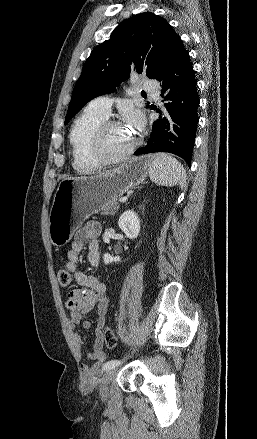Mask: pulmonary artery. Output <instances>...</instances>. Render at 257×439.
<instances>
[{"label": "pulmonary artery", "instance_id": "e3ab8cb5", "mask_svg": "<svg viewBox=\"0 0 257 439\" xmlns=\"http://www.w3.org/2000/svg\"><path fill=\"white\" fill-rule=\"evenodd\" d=\"M142 87L154 100L159 99L158 85L151 79L145 78ZM112 99L108 96H99L88 104V109L108 117L111 112Z\"/></svg>", "mask_w": 257, "mask_h": 439}]
</instances>
